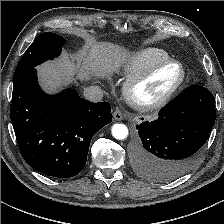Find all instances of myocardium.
I'll use <instances>...</instances> for the list:
<instances>
[{"label":"myocardium","mask_w":224,"mask_h":224,"mask_svg":"<svg viewBox=\"0 0 224 224\" xmlns=\"http://www.w3.org/2000/svg\"><path fill=\"white\" fill-rule=\"evenodd\" d=\"M175 66L179 69L180 75L178 79L173 83V85L158 99L151 102H143L138 99L136 95V90L138 87L151 78L159 70L168 67ZM186 79V69L184 65L173 59H166L160 62H157L144 71L131 76L125 86H124V95L128 103L135 109L142 112H149L157 110L164 105H166L171 98L176 94V92L181 88Z\"/></svg>","instance_id":"1"}]
</instances>
